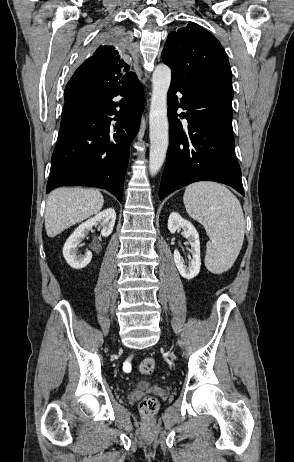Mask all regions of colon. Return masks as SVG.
I'll list each match as a JSON object with an SVG mask.
<instances>
[{"label":"colon","mask_w":294,"mask_h":462,"mask_svg":"<svg viewBox=\"0 0 294 462\" xmlns=\"http://www.w3.org/2000/svg\"><path fill=\"white\" fill-rule=\"evenodd\" d=\"M154 368H155V360L151 357L143 359L139 365V370L144 375L151 374ZM157 408H158V402L153 397H145L140 402V410L146 416L153 415L157 411Z\"/></svg>","instance_id":"5ec220e1"}]
</instances>
